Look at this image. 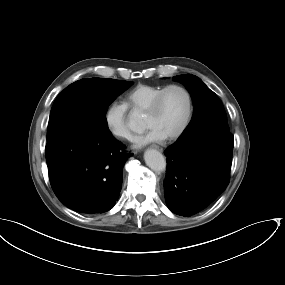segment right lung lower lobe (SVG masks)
<instances>
[{
    "mask_svg": "<svg viewBox=\"0 0 285 285\" xmlns=\"http://www.w3.org/2000/svg\"><path fill=\"white\" fill-rule=\"evenodd\" d=\"M51 187L68 208L83 214L109 211L122 187L127 153L108 128L80 121L47 143Z\"/></svg>",
    "mask_w": 285,
    "mask_h": 285,
    "instance_id": "98d812e1",
    "label": "right lung lower lobe"
}]
</instances>
